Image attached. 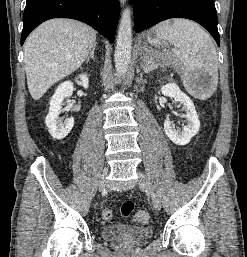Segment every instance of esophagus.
Instances as JSON below:
<instances>
[{"label":"esophagus","mask_w":247,"mask_h":257,"mask_svg":"<svg viewBox=\"0 0 247 257\" xmlns=\"http://www.w3.org/2000/svg\"><path fill=\"white\" fill-rule=\"evenodd\" d=\"M120 1H121V3L124 5L127 0H120Z\"/></svg>","instance_id":"esophagus-1"}]
</instances>
